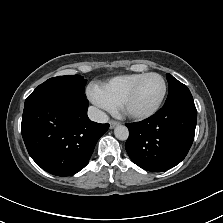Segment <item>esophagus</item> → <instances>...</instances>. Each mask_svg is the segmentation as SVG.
Returning <instances> with one entry per match:
<instances>
[{
    "mask_svg": "<svg viewBox=\"0 0 223 223\" xmlns=\"http://www.w3.org/2000/svg\"><path fill=\"white\" fill-rule=\"evenodd\" d=\"M120 122L116 121V120H111L109 122V125H110V129H113L115 126L119 125Z\"/></svg>",
    "mask_w": 223,
    "mask_h": 223,
    "instance_id": "1",
    "label": "esophagus"
}]
</instances>
